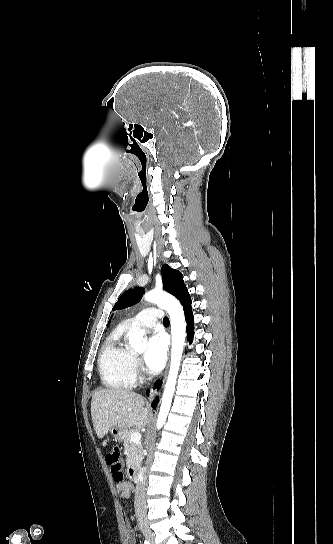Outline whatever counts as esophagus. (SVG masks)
I'll return each mask as SVG.
<instances>
[{
	"instance_id": "esophagus-1",
	"label": "esophagus",
	"mask_w": 333,
	"mask_h": 544,
	"mask_svg": "<svg viewBox=\"0 0 333 544\" xmlns=\"http://www.w3.org/2000/svg\"><path fill=\"white\" fill-rule=\"evenodd\" d=\"M167 374H168V365L166 367L165 372L162 374V376L159 377L158 379H156L153 382V384L151 386V389H150V397L151 398L155 397L156 395H158L160 393V391L162 390V388L164 386V383L166 381Z\"/></svg>"
}]
</instances>
